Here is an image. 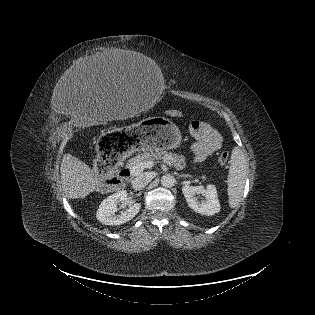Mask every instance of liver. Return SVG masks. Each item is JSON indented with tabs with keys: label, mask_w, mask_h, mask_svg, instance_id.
I'll return each instance as SVG.
<instances>
[{
	"label": "liver",
	"mask_w": 315,
	"mask_h": 315,
	"mask_svg": "<svg viewBox=\"0 0 315 315\" xmlns=\"http://www.w3.org/2000/svg\"><path fill=\"white\" fill-rule=\"evenodd\" d=\"M124 53L92 55L84 59L78 69L83 73L92 74L98 73L100 70L109 72L118 69L120 58L124 56ZM123 113V117H126L127 110H124ZM60 172L63 191L68 199L85 198L96 191L100 185L97 170L91 169L83 161L68 153L63 155Z\"/></svg>",
	"instance_id": "obj_1"
}]
</instances>
